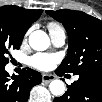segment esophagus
<instances>
[{
    "instance_id": "34e87169",
    "label": "esophagus",
    "mask_w": 102,
    "mask_h": 102,
    "mask_svg": "<svg viewBox=\"0 0 102 102\" xmlns=\"http://www.w3.org/2000/svg\"><path fill=\"white\" fill-rule=\"evenodd\" d=\"M54 79H55L54 75L43 74V76H42V82L45 83V84H48L49 82H51Z\"/></svg>"
}]
</instances>
